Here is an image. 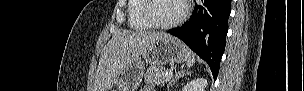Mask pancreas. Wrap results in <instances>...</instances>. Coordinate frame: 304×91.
<instances>
[{"label":"pancreas","mask_w":304,"mask_h":91,"mask_svg":"<svg viewBox=\"0 0 304 91\" xmlns=\"http://www.w3.org/2000/svg\"><path fill=\"white\" fill-rule=\"evenodd\" d=\"M169 70L161 67V66H151L146 70V74L144 77L145 84L147 85H157L162 86L164 85L166 80V73H168Z\"/></svg>","instance_id":"1"}]
</instances>
